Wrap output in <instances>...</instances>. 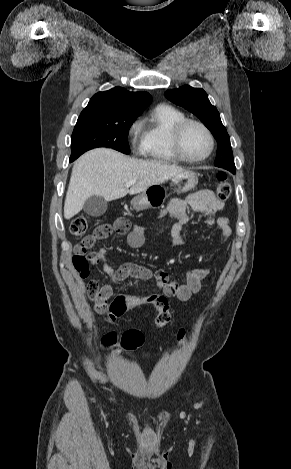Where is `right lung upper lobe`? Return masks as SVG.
Segmentation results:
<instances>
[{"instance_id": "cb5924a9", "label": "right lung upper lobe", "mask_w": 291, "mask_h": 469, "mask_svg": "<svg viewBox=\"0 0 291 469\" xmlns=\"http://www.w3.org/2000/svg\"><path fill=\"white\" fill-rule=\"evenodd\" d=\"M152 97L146 92H129L115 87L96 93L80 115L108 118L137 117L151 103Z\"/></svg>"}]
</instances>
